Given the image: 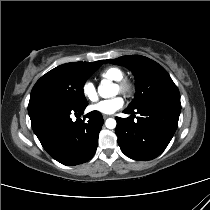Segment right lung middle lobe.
<instances>
[{
  "mask_svg": "<svg viewBox=\"0 0 210 210\" xmlns=\"http://www.w3.org/2000/svg\"><path fill=\"white\" fill-rule=\"evenodd\" d=\"M104 60L60 65L43 75L34 85L28 112L50 105L82 107L88 105L83 86Z\"/></svg>",
  "mask_w": 210,
  "mask_h": 210,
  "instance_id": "obj_1",
  "label": "right lung middle lobe"
}]
</instances>
